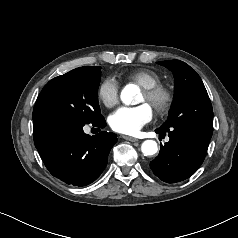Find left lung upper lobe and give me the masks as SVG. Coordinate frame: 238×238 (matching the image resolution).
Returning <instances> with one entry per match:
<instances>
[{"mask_svg":"<svg viewBox=\"0 0 238 238\" xmlns=\"http://www.w3.org/2000/svg\"><path fill=\"white\" fill-rule=\"evenodd\" d=\"M174 74V100L166 122L159 128L185 127L213 132V109L196 71L180 60L157 62Z\"/></svg>","mask_w":238,"mask_h":238,"instance_id":"1","label":"left lung upper lobe"}]
</instances>
